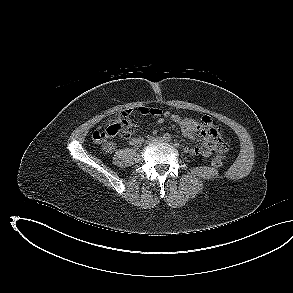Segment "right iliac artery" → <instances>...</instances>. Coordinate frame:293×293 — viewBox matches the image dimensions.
<instances>
[{
  "label": "right iliac artery",
  "instance_id": "1",
  "mask_svg": "<svg viewBox=\"0 0 293 293\" xmlns=\"http://www.w3.org/2000/svg\"><path fill=\"white\" fill-rule=\"evenodd\" d=\"M163 139L166 140V141H170V140H171V136H170V134H169V133H165V134L163 135Z\"/></svg>",
  "mask_w": 293,
  "mask_h": 293
}]
</instances>
